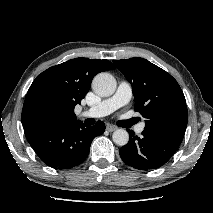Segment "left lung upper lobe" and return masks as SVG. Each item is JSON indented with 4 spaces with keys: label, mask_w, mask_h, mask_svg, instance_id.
Segmentation results:
<instances>
[{
    "label": "left lung upper lobe",
    "mask_w": 213,
    "mask_h": 213,
    "mask_svg": "<svg viewBox=\"0 0 213 213\" xmlns=\"http://www.w3.org/2000/svg\"><path fill=\"white\" fill-rule=\"evenodd\" d=\"M113 63L132 85L135 111L146 119L144 130L181 143L188 112L177 81L143 58L113 60Z\"/></svg>",
    "instance_id": "left-lung-upper-lobe-1"
}]
</instances>
